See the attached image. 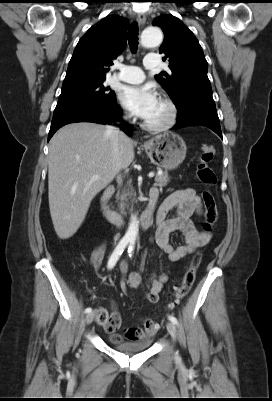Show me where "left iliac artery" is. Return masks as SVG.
Here are the masks:
<instances>
[{
	"label": "left iliac artery",
	"mask_w": 272,
	"mask_h": 401,
	"mask_svg": "<svg viewBox=\"0 0 272 401\" xmlns=\"http://www.w3.org/2000/svg\"><path fill=\"white\" fill-rule=\"evenodd\" d=\"M134 245H135V240H134V239H131V240H130V245H129V247H128V253H129V256H130V257H131L132 254H133ZM168 319H169L171 322H173L174 324H178V321H177V319H176L174 316L169 315V316H168Z\"/></svg>",
	"instance_id": "obj_1"
}]
</instances>
